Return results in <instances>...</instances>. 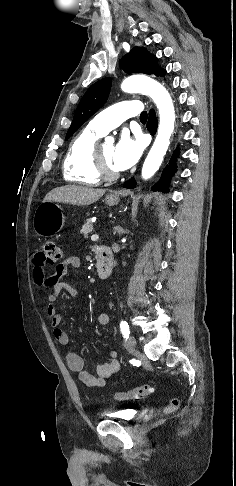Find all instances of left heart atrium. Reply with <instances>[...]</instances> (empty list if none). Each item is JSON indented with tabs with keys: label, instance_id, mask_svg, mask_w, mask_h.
<instances>
[{
	"label": "left heart atrium",
	"instance_id": "left-heart-atrium-1",
	"mask_svg": "<svg viewBox=\"0 0 236 486\" xmlns=\"http://www.w3.org/2000/svg\"><path fill=\"white\" fill-rule=\"evenodd\" d=\"M144 144L140 138H133L124 133L114 148L113 163L118 171H123L133 166L143 152Z\"/></svg>",
	"mask_w": 236,
	"mask_h": 486
}]
</instances>
